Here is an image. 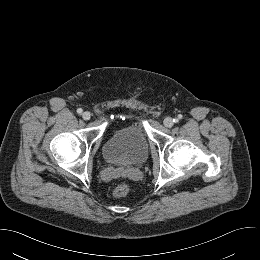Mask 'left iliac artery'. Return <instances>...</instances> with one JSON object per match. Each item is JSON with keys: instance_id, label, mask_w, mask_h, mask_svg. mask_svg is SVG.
Segmentation results:
<instances>
[{"instance_id": "1", "label": "left iliac artery", "mask_w": 260, "mask_h": 260, "mask_svg": "<svg viewBox=\"0 0 260 260\" xmlns=\"http://www.w3.org/2000/svg\"><path fill=\"white\" fill-rule=\"evenodd\" d=\"M181 118H182V115H179L178 118L173 119V122L177 123V122H179V119H181Z\"/></svg>"}]
</instances>
